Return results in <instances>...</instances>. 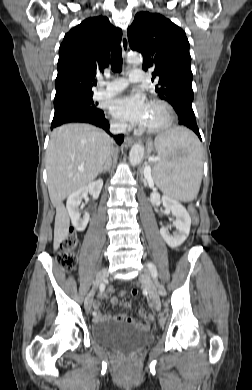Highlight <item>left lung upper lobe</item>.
Returning a JSON list of instances; mask_svg holds the SVG:
<instances>
[{
    "label": "left lung upper lobe",
    "mask_w": 252,
    "mask_h": 390,
    "mask_svg": "<svg viewBox=\"0 0 252 390\" xmlns=\"http://www.w3.org/2000/svg\"><path fill=\"white\" fill-rule=\"evenodd\" d=\"M132 50L143 55V69L154 68L152 81L159 98L174 108L192 104V71L189 42L185 32L157 13L139 12L128 28Z\"/></svg>",
    "instance_id": "obj_1"
}]
</instances>
